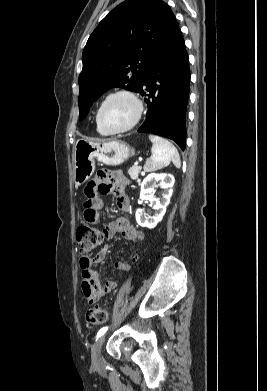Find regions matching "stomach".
<instances>
[{
	"label": "stomach",
	"mask_w": 267,
	"mask_h": 391,
	"mask_svg": "<svg viewBox=\"0 0 267 391\" xmlns=\"http://www.w3.org/2000/svg\"><path fill=\"white\" fill-rule=\"evenodd\" d=\"M133 155L134 150L123 141L77 140L73 152L75 186L83 185L92 176L95 160L108 166H118Z\"/></svg>",
	"instance_id": "0dacf381"
}]
</instances>
